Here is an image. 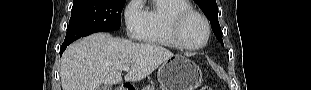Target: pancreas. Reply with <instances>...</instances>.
I'll list each match as a JSON object with an SVG mask.
<instances>
[{"label":"pancreas","mask_w":311,"mask_h":90,"mask_svg":"<svg viewBox=\"0 0 311 90\" xmlns=\"http://www.w3.org/2000/svg\"><path fill=\"white\" fill-rule=\"evenodd\" d=\"M143 90H154V88L151 86H146L145 88H143Z\"/></svg>","instance_id":"obj_1"}]
</instances>
